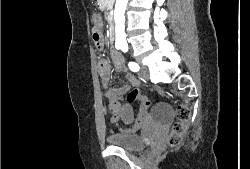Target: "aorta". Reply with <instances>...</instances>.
Returning <instances> with one entry per match:
<instances>
[{"instance_id":"1","label":"aorta","mask_w":250,"mask_h":169,"mask_svg":"<svg viewBox=\"0 0 250 169\" xmlns=\"http://www.w3.org/2000/svg\"><path fill=\"white\" fill-rule=\"evenodd\" d=\"M128 0H116L114 10L115 32L116 38L119 40H126L125 36V8Z\"/></svg>"}]
</instances>
